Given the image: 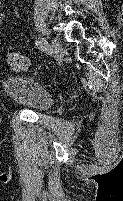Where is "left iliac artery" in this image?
<instances>
[{
	"label": "left iliac artery",
	"instance_id": "1",
	"mask_svg": "<svg viewBox=\"0 0 123 201\" xmlns=\"http://www.w3.org/2000/svg\"><path fill=\"white\" fill-rule=\"evenodd\" d=\"M36 45L43 51L48 50L49 44L43 37H38L36 40Z\"/></svg>",
	"mask_w": 123,
	"mask_h": 201
}]
</instances>
